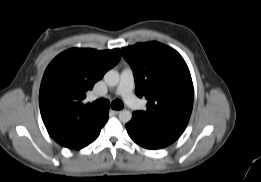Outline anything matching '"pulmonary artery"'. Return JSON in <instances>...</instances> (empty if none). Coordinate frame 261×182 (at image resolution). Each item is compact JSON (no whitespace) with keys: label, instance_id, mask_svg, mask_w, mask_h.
I'll return each mask as SVG.
<instances>
[{"label":"pulmonary artery","instance_id":"obj_1","mask_svg":"<svg viewBox=\"0 0 261 182\" xmlns=\"http://www.w3.org/2000/svg\"><path fill=\"white\" fill-rule=\"evenodd\" d=\"M134 72L130 67H126L120 75L119 84L115 90V94L123 98L130 106L138 107V99L133 94Z\"/></svg>","mask_w":261,"mask_h":182}]
</instances>
